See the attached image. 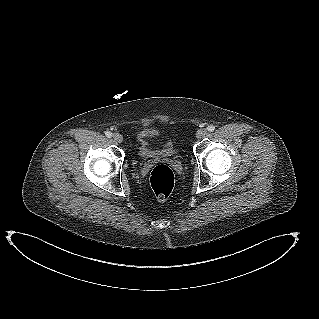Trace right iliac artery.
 <instances>
[{
    "label": "right iliac artery",
    "mask_w": 319,
    "mask_h": 319,
    "mask_svg": "<svg viewBox=\"0 0 319 319\" xmlns=\"http://www.w3.org/2000/svg\"><path fill=\"white\" fill-rule=\"evenodd\" d=\"M105 135H106L108 138H111V137H112V133H111L110 131H107V132L105 133Z\"/></svg>",
    "instance_id": "82829eb1"
}]
</instances>
